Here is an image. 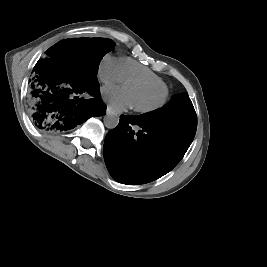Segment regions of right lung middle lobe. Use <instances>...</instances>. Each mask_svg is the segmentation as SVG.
<instances>
[{
  "label": "right lung middle lobe",
  "mask_w": 267,
  "mask_h": 267,
  "mask_svg": "<svg viewBox=\"0 0 267 267\" xmlns=\"http://www.w3.org/2000/svg\"><path fill=\"white\" fill-rule=\"evenodd\" d=\"M114 45L107 38H70L59 41L46 52L49 58L63 62L78 78L91 83L97 82L99 63Z\"/></svg>",
  "instance_id": "obj_1"
}]
</instances>
